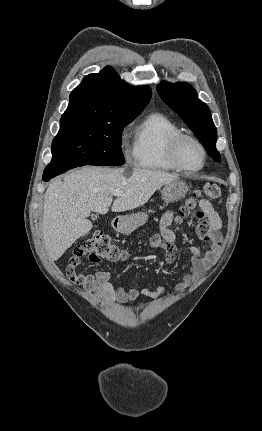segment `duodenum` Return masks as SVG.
Masks as SVG:
<instances>
[{
	"instance_id": "410a0bca",
	"label": "duodenum",
	"mask_w": 262,
	"mask_h": 431,
	"mask_svg": "<svg viewBox=\"0 0 262 431\" xmlns=\"http://www.w3.org/2000/svg\"><path fill=\"white\" fill-rule=\"evenodd\" d=\"M114 224L118 225L120 223V220L118 218H113Z\"/></svg>"
}]
</instances>
